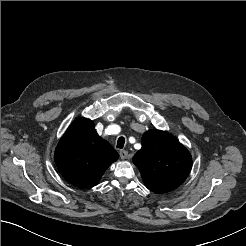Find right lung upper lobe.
<instances>
[{"instance_id": "1", "label": "right lung upper lobe", "mask_w": 246, "mask_h": 246, "mask_svg": "<svg viewBox=\"0 0 246 246\" xmlns=\"http://www.w3.org/2000/svg\"><path fill=\"white\" fill-rule=\"evenodd\" d=\"M118 157L114 148L97 134L94 123L85 118L70 125L55 150L60 173L80 188L95 186Z\"/></svg>"}]
</instances>
